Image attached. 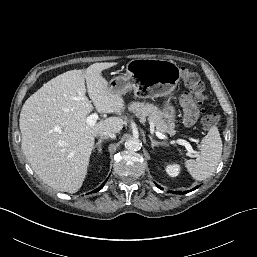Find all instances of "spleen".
Masks as SVG:
<instances>
[{
	"label": "spleen",
	"mask_w": 257,
	"mask_h": 257,
	"mask_svg": "<svg viewBox=\"0 0 257 257\" xmlns=\"http://www.w3.org/2000/svg\"><path fill=\"white\" fill-rule=\"evenodd\" d=\"M222 147L218 128L213 126L199 145L200 155L195 160H186L184 163L195 180L203 181L214 173L221 159Z\"/></svg>",
	"instance_id": "1"
}]
</instances>
